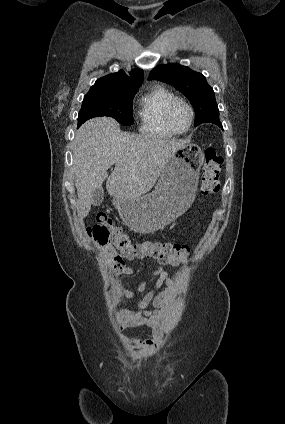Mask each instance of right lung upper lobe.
I'll return each instance as SVG.
<instances>
[{
	"instance_id": "right-lung-upper-lobe-1",
	"label": "right lung upper lobe",
	"mask_w": 285,
	"mask_h": 424,
	"mask_svg": "<svg viewBox=\"0 0 285 424\" xmlns=\"http://www.w3.org/2000/svg\"><path fill=\"white\" fill-rule=\"evenodd\" d=\"M144 74L141 69H134L128 76L123 70L106 75L96 80L90 90L109 89L119 87H139L143 82Z\"/></svg>"
}]
</instances>
